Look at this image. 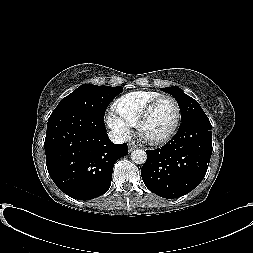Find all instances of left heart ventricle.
<instances>
[{"label": "left heart ventricle", "mask_w": 253, "mask_h": 253, "mask_svg": "<svg viewBox=\"0 0 253 253\" xmlns=\"http://www.w3.org/2000/svg\"><path fill=\"white\" fill-rule=\"evenodd\" d=\"M176 109L172 101L163 100L153 110L143 127V134L151 139L165 136L172 128Z\"/></svg>", "instance_id": "obj_1"}]
</instances>
